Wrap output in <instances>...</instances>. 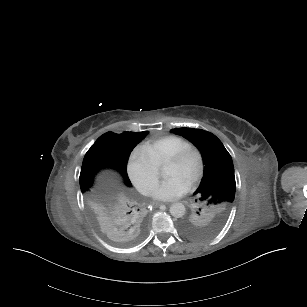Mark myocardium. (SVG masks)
<instances>
[{
    "instance_id": "1",
    "label": "myocardium",
    "mask_w": 307,
    "mask_h": 307,
    "mask_svg": "<svg viewBox=\"0 0 307 307\" xmlns=\"http://www.w3.org/2000/svg\"><path fill=\"white\" fill-rule=\"evenodd\" d=\"M194 151L198 152L200 156V165L198 171L188 181L190 185L195 184L205 175L207 169V156L203 147L195 143H190L189 145L169 155L166 158L167 161L180 163L184 161L187 158V156Z\"/></svg>"
}]
</instances>
